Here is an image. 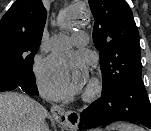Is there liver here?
I'll list each match as a JSON object with an SVG mask.
<instances>
[{
    "label": "liver",
    "mask_w": 151,
    "mask_h": 131,
    "mask_svg": "<svg viewBox=\"0 0 151 131\" xmlns=\"http://www.w3.org/2000/svg\"><path fill=\"white\" fill-rule=\"evenodd\" d=\"M47 114L42 105L26 95L0 93V131H49Z\"/></svg>",
    "instance_id": "1"
}]
</instances>
